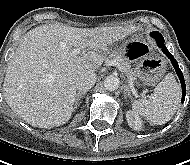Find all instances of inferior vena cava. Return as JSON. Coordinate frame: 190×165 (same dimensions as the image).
<instances>
[{
	"label": "inferior vena cava",
	"mask_w": 190,
	"mask_h": 165,
	"mask_svg": "<svg viewBox=\"0 0 190 165\" xmlns=\"http://www.w3.org/2000/svg\"><path fill=\"white\" fill-rule=\"evenodd\" d=\"M97 76L92 71H87L79 76L75 80L76 89L80 92H86L91 89L96 83Z\"/></svg>",
	"instance_id": "inferior-vena-cava-1"
}]
</instances>
